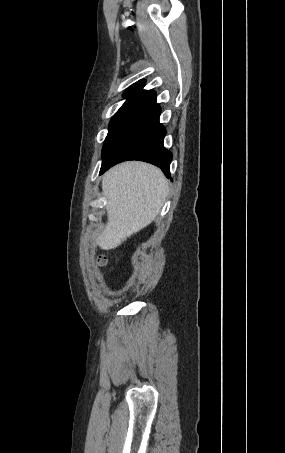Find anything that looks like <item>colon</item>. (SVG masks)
<instances>
[{"instance_id": "1", "label": "colon", "mask_w": 285, "mask_h": 453, "mask_svg": "<svg viewBox=\"0 0 285 453\" xmlns=\"http://www.w3.org/2000/svg\"><path fill=\"white\" fill-rule=\"evenodd\" d=\"M107 262V257L106 256H102L100 259H99V264L101 265H105Z\"/></svg>"}]
</instances>
